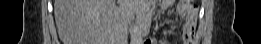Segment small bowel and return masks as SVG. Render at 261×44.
<instances>
[{"instance_id": "obj_1", "label": "small bowel", "mask_w": 261, "mask_h": 44, "mask_svg": "<svg viewBox=\"0 0 261 44\" xmlns=\"http://www.w3.org/2000/svg\"><path fill=\"white\" fill-rule=\"evenodd\" d=\"M157 4L162 9L169 8L173 1L162 0L157 2H144L140 4V11H145L151 18L153 14V6ZM178 13L184 18V28L182 34L183 44H192L195 39L196 25H197V11L191 6H179ZM159 43L157 38L151 37L144 41V44H156Z\"/></svg>"}]
</instances>
